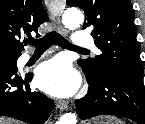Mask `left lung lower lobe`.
<instances>
[{
  "instance_id": "0a47b994",
  "label": "left lung lower lobe",
  "mask_w": 145,
  "mask_h": 124,
  "mask_svg": "<svg viewBox=\"0 0 145 124\" xmlns=\"http://www.w3.org/2000/svg\"><path fill=\"white\" fill-rule=\"evenodd\" d=\"M84 73L89 91L75 102L81 119L107 114L145 124V88L141 75L121 69L107 71L97 78L85 70Z\"/></svg>"
}]
</instances>
